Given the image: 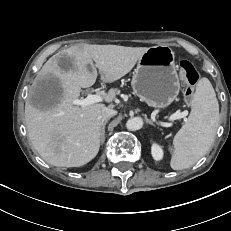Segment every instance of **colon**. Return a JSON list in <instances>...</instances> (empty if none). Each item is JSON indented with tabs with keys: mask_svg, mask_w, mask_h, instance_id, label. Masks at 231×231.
<instances>
[{
	"mask_svg": "<svg viewBox=\"0 0 231 231\" xmlns=\"http://www.w3.org/2000/svg\"><path fill=\"white\" fill-rule=\"evenodd\" d=\"M180 77L184 80L187 86L184 89V98L189 100L193 94V86L200 78V74L197 69L187 60L180 62L179 69Z\"/></svg>",
	"mask_w": 231,
	"mask_h": 231,
	"instance_id": "5ec220e1",
	"label": "colon"
}]
</instances>
